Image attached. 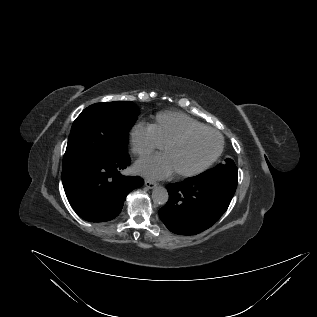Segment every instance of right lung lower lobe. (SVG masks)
Segmentation results:
<instances>
[{"instance_id":"right-lung-lower-lobe-1","label":"right lung lower lobe","mask_w":317,"mask_h":317,"mask_svg":"<svg viewBox=\"0 0 317 317\" xmlns=\"http://www.w3.org/2000/svg\"><path fill=\"white\" fill-rule=\"evenodd\" d=\"M129 165L130 157L125 154L62 172L63 187L75 212L91 222L114 219L121 212L127 194L144 183L138 176L120 173Z\"/></svg>"}]
</instances>
